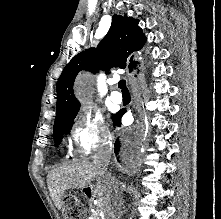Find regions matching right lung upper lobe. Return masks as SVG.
<instances>
[{"label": "right lung upper lobe", "instance_id": "right-lung-upper-lobe-1", "mask_svg": "<svg viewBox=\"0 0 221 219\" xmlns=\"http://www.w3.org/2000/svg\"><path fill=\"white\" fill-rule=\"evenodd\" d=\"M146 37L138 26V20L132 17L114 15L111 27L99 43L97 49L91 48L77 54L66 65L57 82L56 119L80 107L73 94V83L81 70L92 73L99 69L106 72L112 67L138 69V61L133 60Z\"/></svg>", "mask_w": 221, "mask_h": 219}]
</instances>
